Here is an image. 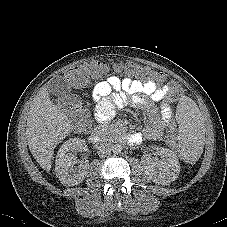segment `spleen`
Here are the masks:
<instances>
[{
  "mask_svg": "<svg viewBox=\"0 0 227 227\" xmlns=\"http://www.w3.org/2000/svg\"><path fill=\"white\" fill-rule=\"evenodd\" d=\"M175 112L178 129L177 153L184 160H195L202 153L204 140L200 110L193 100L182 98L176 103Z\"/></svg>",
  "mask_w": 227,
  "mask_h": 227,
  "instance_id": "3e777b00",
  "label": "spleen"
}]
</instances>
